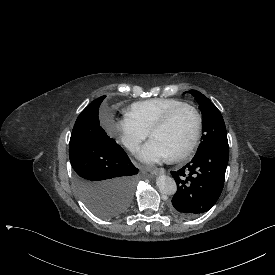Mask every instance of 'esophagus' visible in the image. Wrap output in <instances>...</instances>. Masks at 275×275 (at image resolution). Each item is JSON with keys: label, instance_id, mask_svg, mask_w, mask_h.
<instances>
[{"label": "esophagus", "instance_id": "1", "mask_svg": "<svg viewBox=\"0 0 275 275\" xmlns=\"http://www.w3.org/2000/svg\"><path fill=\"white\" fill-rule=\"evenodd\" d=\"M166 171H165V169L164 168H156V169H154L152 172H151V174L152 175H162V174H164Z\"/></svg>", "mask_w": 275, "mask_h": 275}]
</instances>
